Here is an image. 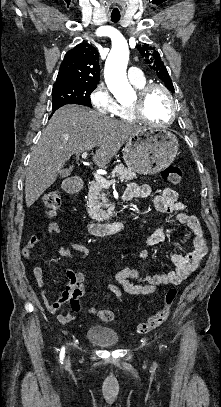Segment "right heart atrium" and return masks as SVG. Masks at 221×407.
<instances>
[{
  "instance_id": "obj_1",
  "label": "right heart atrium",
  "mask_w": 221,
  "mask_h": 407,
  "mask_svg": "<svg viewBox=\"0 0 221 407\" xmlns=\"http://www.w3.org/2000/svg\"><path fill=\"white\" fill-rule=\"evenodd\" d=\"M94 109L102 114L111 115L117 110L118 103L114 100L108 87L99 83L89 96Z\"/></svg>"
}]
</instances>
